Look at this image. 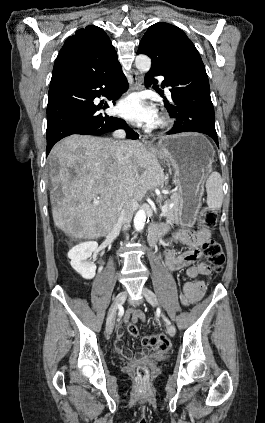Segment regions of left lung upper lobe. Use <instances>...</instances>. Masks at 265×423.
<instances>
[{
    "mask_svg": "<svg viewBox=\"0 0 265 423\" xmlns=\"http://www.w3.org/2000/svg\"><path fill=\"white\" fill-rule=\"evenodd\" d=\"M191 51L198 53L181 29L159 22L147 30L140 42L138 53L146 54L152 59L151 69H164Z\"/></svg>",
    "mask_w": 265,
    "mask_h": 423,
    "instance_id": "obj_1",
    "label": "left lung upper lobe"
}]
</instances>
